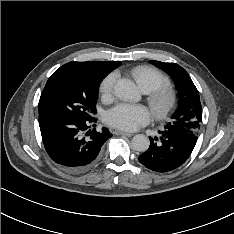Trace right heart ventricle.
<instances>
[{
	"mask_svg": "<svg viewBox=\"0 0 234 234\" xmlns=\"http://www.w3.org/2000/svg\"><path fill=\"white\" fill-rule=\"evenodd\" d=\"M131 75L144 93H150L159 87H169L170 84L162 72L150 66H137L132 69Z\"/></svg>",
	"mask_w": 234,
	"mask_h": 234,
	"instance_id": "1",
	"label": "right heart ventricle"
}]
</instances>
